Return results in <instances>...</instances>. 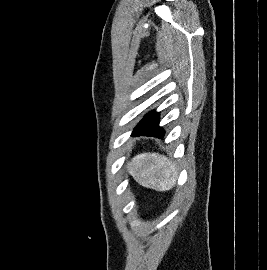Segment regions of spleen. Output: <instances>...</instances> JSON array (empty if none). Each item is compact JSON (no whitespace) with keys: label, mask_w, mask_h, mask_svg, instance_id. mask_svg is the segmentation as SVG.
<instances>
[{"label":"spleen","mask_w":267,"mask_h":270,"mask_svg":"<svg viewBox=\"0 0 267 270\" xmlns=\"http://www.w3.org/2000/svg\"><path fill=\"white\" fill-rule=\"evenodd\" d=\"M128 172L142 186L157 191H166L175 185V164L157 153L136 155L127 166Z\"/></svg>","instance_id":"1"}]
</instances>
